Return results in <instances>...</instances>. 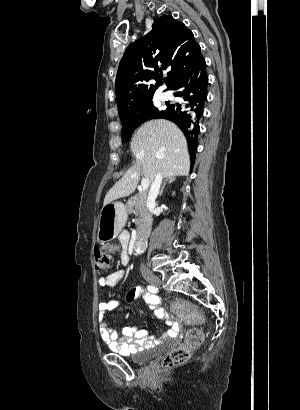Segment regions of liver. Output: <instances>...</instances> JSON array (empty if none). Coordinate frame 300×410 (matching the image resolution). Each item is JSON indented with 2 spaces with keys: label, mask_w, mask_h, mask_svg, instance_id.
Here are the masks:
<instances>
[{
  "label": "liver",
  "mask_w": 300,
  "mask_h": 410,
  "mask_svg": "<svg viewBox=\"0 0 300 410\" xmlns=\"http://www.w3.org/2000/svg\"><path fill=\"white\" fill-rule=\"evenodd\" d=\"M130 148L136 164L108 191L104 205L132 194L141 175L151 183L157 173L165 178L189 174L186 138L170 121L156 119L144 123L133 135Z\"/></svg>",
  "instance_id": "liver-1"
}]
</instances>
